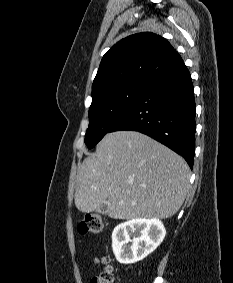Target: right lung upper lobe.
Masks as SVG:
<instances>
[{
	"label": "right lung upper lobe",
	"mask_w": 233,
	"mask_h": 283,
	"mask_svg": "<svg viewBox=\"0 0 233 283\" xmlns=\"http://www.w3.org/2000/svg\"><path fill=\"white\" fill-rule=\"evenodd\" d=\"M183 62L163 37L150 32L128 36L103 56L92 84V98L132 81L151 82Z\"/></svg>",
	"instance_id": "obj_1"
}]
</instances>
